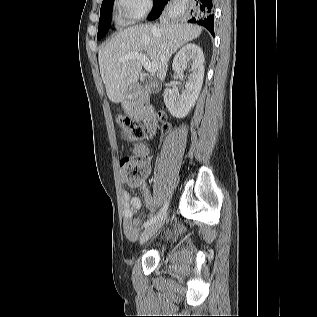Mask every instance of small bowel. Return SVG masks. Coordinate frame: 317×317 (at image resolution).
<instances>
[{
  "mask_svg": "<svg viewBox=\"0 0 317 317\" xmlns=\"http://www.w3.org/2000/svg\"><path fill=\"white\" fill-rule=\"evenodd\" d=\"M136 152L140 156L146 157L147 162L149 163V159L147 158V148L145 146H139L136 149ZM124 182L127 183L130 186L133 187H138L145 199L147 207L151 211H155V202L152 199L149 189L145 182L142 180L138 182H129L127 178H124ZM124 200H125V208H124V233L125 235L130 238L134 239L137 234H138V225H139V220L134 219V215L139 212L142 206V202L139 198L137 197H131L128 192H124L123 194Z\"/></svg>",
  "mask_w": 317,
  "mask_h": 317,
  "instance_id": "1",
  "label": "small bowel"
}]
</instances>
